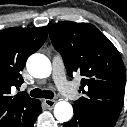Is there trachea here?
<instances>
[{
    "instance_id": "1",
    "label": "trachea",
    "mask_w": 127,
    "mask_h": 127,
    "mask_svg": "<svg viewBox=\"0 0 127 127\" xmlns=\"http://www.w3.org/2000/svg\"><path fill=\"white\" fill-rule=\"evenodd\" d=\"M30 95L32 97H36V98H46V99H52L54 97V93L50 90H41L39 88L33 89L30 92Z\"/></svg>"
}]
</instances>
